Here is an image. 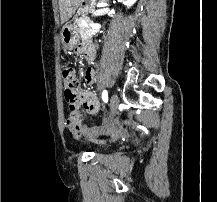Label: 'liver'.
I'll return each mask as SVG.
<instances>
[{
  "label": "liver",
  "mask_w": 217,
  "mask_h": 202,
  "mask_svg": "<svg viewBox=\"0 0 217 202\" xmlns=\"http://www.w3.org/2000/svg\"><path fill=\"white\" fill-rule=\"evenodd\" d=\"M81 0H59L61 24L68 22L79 8Z\"/></svg>",
  "instance_id": "6515ba94"
}]
</instances>
